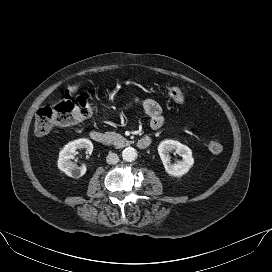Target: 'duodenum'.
I'll return each instance as SVG.
<instances>
[{"label": "duodenum", "instance_id": "410a0bca", "mask_svg": "<svg viewBox=\"0 0 272 272\" xmlns=\"http://www.w3.org/2000/svg\"><path fill=\"white\" fill-rule=\"evenodd\" d=\"M90 135L91 138L99 144L107 145L109 143V137L102 130L94 129L91 131ZM151 143H152L151 137L149 136L142 137L137 141V147L139 149H146L151 145Z\"/></svg>", "mask_w": 272, "mask_h": 272}]
</instances>
